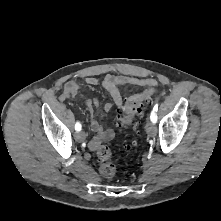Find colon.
Returning <instances> with one entry per match:
<instances>
[{
    "label": "colon",
    "mask_w": 221,
    "mask_h": 221,
    "mask_svg": "<svg viewBox=\"0 0 221 221\" xmlns=\"http://www.w3.org/2000/svg\"><path fill=\"white\" fill-rule=\"evenodd\" d=\"M154 93V88H149L141 93L131 96L122 111L121 119L123 123L129 124L132 120L139 116L146 104L151 102ZM99 160L102 162L100 166V174L106 178L111 179L116 173L115 166L110 163L111 150L107 146H100L97 152Z\"/></svg>",
    "instance_id": "5ec220e1"
}]
</instances>
